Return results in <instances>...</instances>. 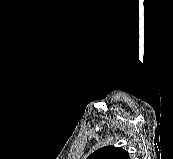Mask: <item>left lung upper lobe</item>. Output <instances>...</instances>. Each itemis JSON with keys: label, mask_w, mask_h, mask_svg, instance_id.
Segmentation results:
<instances>
[{"label": "left lung upper lobe", "mask_w": 173, "mask_h": 159, "mask_svg": "<svg viewBox=\"0 0 173 159\" xmlns=\"http://www.w3.org/2000/svg\"><path fill=\"white\" fill-rule=\"evenodd\" d=\"M87 159H130V157L122 148L106 146L96 150Z\"/></svg>", "instance_id": "5c2ea615"}]
</instances>
